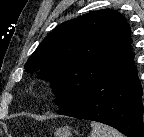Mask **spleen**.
Here are the masks:
<instances>
[{
  "label": "spleen",
  "instance_id": "3e777b00",
  "mask_svg": "<svg viewBox=\"0 0 144 137\" xmlns=\"http://www.w3.org/2000/svg\"><path fill=\"white\" fill-rule=\"evenodd\" d=\"M92 133L90 137H123L116 129L99 122H91Z\"/></svg>",
  "mask_w": 144,
  "mask_h": 137
}]
</instances>
